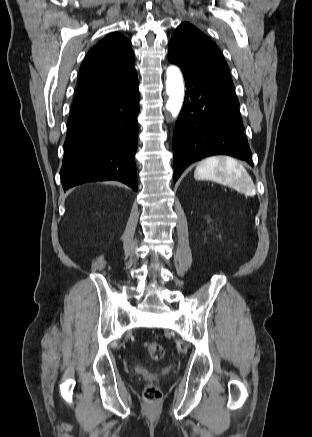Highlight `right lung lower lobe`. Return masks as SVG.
Masks as SVG:
<instances>
[{
  "mask_svg": "<svg viewBox=\"0 0 312 437\" xmlns=\"http://www.w3.org/2000/svg\"><path fill=\"white\" fill-rule=\"evenodd\" d=\"M138 112L137 75L115 93L71 110L60 171L64 191L105 180H118L137 190Z\"/></svg>",
  "mask_w": 312,
  "mask_h": 437,
  "instance_id": "1",
  "label": "right lung lower lobe"
}]
</instances>
